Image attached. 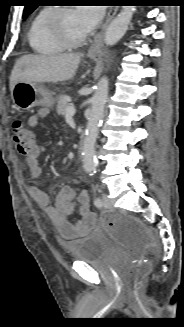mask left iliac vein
I'll return each mask as SVG.
<instances>
[{
	"mask_svg": "<svg viewBox=\"0 0 184 327\" xmlns=\"http://www.w3.org/2000/svg\"><path fill=\"white\" fill-rule=\"evenodd\" d=\"M102 201H103V205L105 207L110 208L112 206V203H111L109 197L107 196V194L102 195Z\"/></svg>",
	"mask_w": 184,
	"mask_h": 327,
	"instance_id": "4c4485c4",
	"label": "left iliac vein"
}]
</instances>
